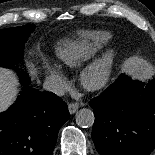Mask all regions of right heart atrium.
<instances>
[{"label": "right heart atrium", "instance_id": "obj_1", "mask_svg": "<svg viewBox=\"0 0 155 155\" xmlns=\"http://www.w3.org/2000/svg\"><path fill=\"white\" fill-rule=\"evenodd\" d=\"M43 68L47 74V80L52 90L55 92H61L64 90L66 86V79L61 69L50 63H44Z\"/></svg>", "mask_w": 155, "mask_h": 155}]
</instances>
